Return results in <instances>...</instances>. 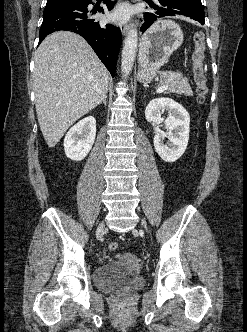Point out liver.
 <instances>
[{"label": "liver", "mask_w": 247, "mask_h": 332, "mask_svg": "<svg viewBox=\"0 0 247 332\" xmlns=\"http://www.w3.org/2000/svg\"><path fill=\"white\" fill-rule=\"evenodd\" d=\"M32 80L39 126L53 148L74 122L102 102L109 72L81 36L59 31L35 52Z\"/></svg>", "instance_id": "liver-1"}]
</instances>
